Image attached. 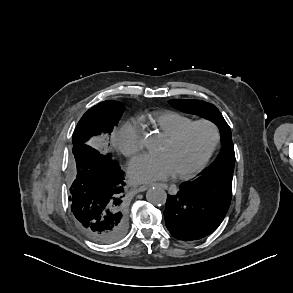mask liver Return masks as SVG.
Wrapping results in <instances>:
<instances>
[{"label": "liver", "mask_w": 293, "mask_h": 293, "mask_svg": "<svg viewBox=\"0 0 293 293\" xmlns=\"http://www.w3.org/2000/svg\"><path fill=\"white\" fill-rule=\"evenodd\" d=\"M94 145H95V146H97V145H98V143H97V142H95V143H94Z\"/></svg>", "instance_id": "obj_1"}]
</instances>
